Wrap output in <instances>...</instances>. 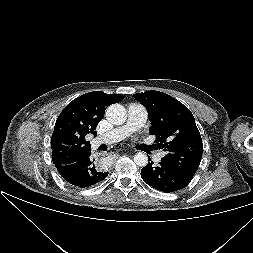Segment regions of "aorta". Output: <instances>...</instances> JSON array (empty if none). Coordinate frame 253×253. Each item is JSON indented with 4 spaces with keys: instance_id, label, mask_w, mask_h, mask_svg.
Here are the masks:
<instances>
[{
    "instance_id": "762f6f07",
    "label": "aorta",
    "mask_w": 253,
    "mask_h": 253,
    "mask_svg": "<svg viewBox=\"0 0 253 253\" xmlns=\"http://www.w3.org/2000/svg\"><path fill=\"white\" fill-rule=\"evenodd\" d=\"M106 119L115 125H121L126 121V110L120 104H112L106 110ZM134 162L137 166L144 167L148 163V157L142 152L134 155Z\"/></svg>"
}]
</instances>
